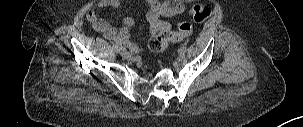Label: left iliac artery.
I'll return each mask as SVG.
<instances>
[{
    "label": "left iliac artery",
    "instance_id": "obj_1",
    "mask_svg": "<svg viewBox=\"0 0 303 127\" xmlns=\"http://www.w3.org/2000/svg\"><path fill=\"white\" fill-rule=\"evenodd\" d=\"M186 51H187V48H186V46H182L180 49H179V53L181 54H185L186 53Z\"/></svg>",
    "mask_w": 303,
    "mask_h": 127
}]
</instances>
